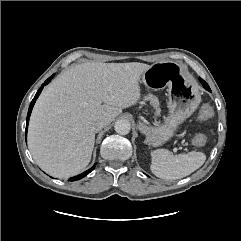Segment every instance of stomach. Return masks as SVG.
Wrapping results in <instances>:
<instances>
[{
	"label": "stomach",
	"instance_id": "1",
	"mask_svg": "<svg viewBox=\"0 0 241 241\" xmlns=\"http://www.w3.org/2000/svg\"><path fill=\"white\" fill-rule=\"evenodd\" d=\"M142 82L155 91L167 88L169 114L163 123L149 126L139 122L138 128L146 136L145 143L160 146L170 140L178 125L192 115L201 101L194 81L184 67L174 61L156 62L142 75Z\"/></svg>",
	"mask_w": 241,
	"mask_h": 241
}]
</instances>
